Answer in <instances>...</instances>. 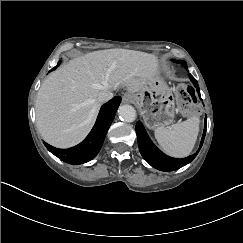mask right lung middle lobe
Wrapping results in <instances>:
<instances>
[{"label": "right lung middle lobe", "instance_id": "1", "mask_svg": "<svg viewBox=\"0 0 243 243\" xmlns=\"http://www.w3.org/2000/svg\"><path fill=\"white\" fill-rule=\"evenodd\" d=\"M59 64H60V61L58 62L57 66H55L52 70L56 69L59 66Z\"/></svg>", "mask_w": 243, "mask_h": 243}]
</instances>
